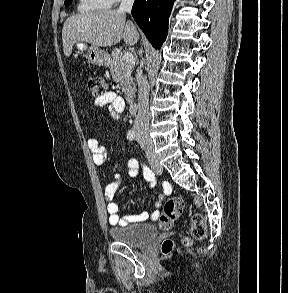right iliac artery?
Returning a JSON list of instances; mask_svg holds the SVG:
<instances>
[{"mask_svg":"<svg viewBox=\"0 0 288 293\" xmlns=\"http://www.w3.org/2000/svg\"><path fill=\"white\" fill-rule=\"evenodd\" d=\"M127 138H128L130 141L135 140V132H134V130H129V131H128V133H127Z\"/></svg>","mask_w":288,"mask_h":293,"instance_id":"1","label":"right iliac artery"}]
</instances>
